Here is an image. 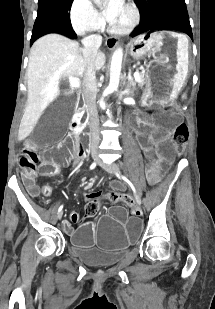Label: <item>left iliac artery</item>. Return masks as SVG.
<instances>
[{
    "label": "left iliac artery",
    "instance_id": "obj_1",
    "mask_svg": "<svg viewBox=\"0 0 215 309\" xmlns=\"http://www.w3.org/2000/svg\"><path fill=\"white\" fill-rule=\"evenodd\" d=\"M116 175H117V177H122V179L126 182V183H128V185L131 187V189L133 190V192L134 193H136V188L134 187V185L132 184V182L128 179V178H126L125 176H122L119 172H116Z\"/></svg>",
    "mask_w": 215,
    "mask_h": 309
}]
</instances>
